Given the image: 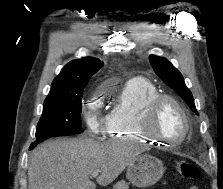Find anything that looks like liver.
Wrapping results in <instances>:
<instances>
[{
    "mask_svg": "<svg viewBox=\"0 0 223 189\" xmlns=\"http://www.w3.org/2000/svg\"><path fill=\"white\" fill-rule=\"evenodd\" d=\"M141 153L125 142L99 143L91 138L49 140L33 150L28 166V189H95L107 186Z\"/></svg>",
    "mask_w": 223,
    "mask_h": 189,
    "instance_id": "liver-1",
    "label": "liver"
}]
</instances>
